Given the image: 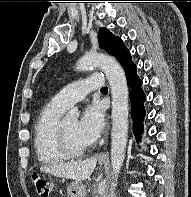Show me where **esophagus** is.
<instances>
[{"mask_svg": "<svg viewBox=\"0 0 191 197\" xmlns=\"http://www.w3.org/2000/svg\"><path fill=\"white\" fill-rule=\"evenodd\" d=\"M99 160H107L108 159V155L107 153L103 152L98 156Z\"/></svg>", "mask_w": 191, "mask_h": 197, "instance_id": "1", "label": "esophagus"}]
</instances>
